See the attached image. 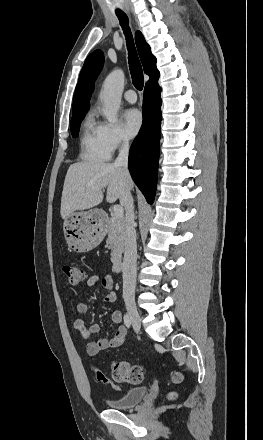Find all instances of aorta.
<instances>
[{
  "instance_id": "762f6f07",
  "label": "aorta",
  "mask_w": 263,
  "mask_h": 440,
  "mask_svg": "<svg viewBox=\"0 0 263 440\" xmlns=\"http://www.w3.org/2000/svg\"><path fill=\"white\" fill-rule=\"evenodd\" d=\"M125 75L121 69L113 70L105 79L100 99L104 104V115L110 123H115L117 112L121 103Z\"/></svg>"
}]
</instances>
